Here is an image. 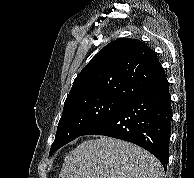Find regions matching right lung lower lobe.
<instances>
[{"label":"right lung lower lobe","instance_id":"98d812e1","mask_svg":"<svg viewBox=\"0 0 194 178\" xmlns=\"http://www.w3.org/2000/svg\"><path fill=\"white\" fill-rule=\"evenodd\" d=\"M172 109L168 83L125 101L82 135H105L148 150L166 169Z\"/></svg>","mask_w":194,"mask_h":178}]
</instances>
